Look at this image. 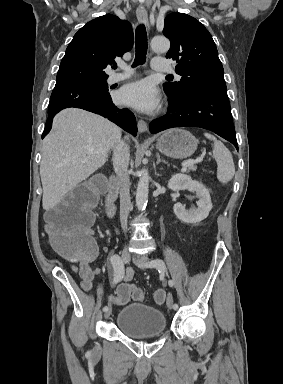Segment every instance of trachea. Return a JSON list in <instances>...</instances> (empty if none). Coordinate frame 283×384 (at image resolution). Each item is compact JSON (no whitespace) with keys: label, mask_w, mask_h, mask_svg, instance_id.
<instances>
[{"label":"trachea","mask_w":283,"mask_h":384,"mask_svg":"<svg viewBox=\"0 0 283 384\" xmlns=\"http://www.w3.org/2000/svg\"><path fill=\"white\" fill-rule=\"evenodd\" d=\"M148 48V39L147 32L144 24L139 25L136 29V37H135V60L133 63V67L138 65H143L146 62V54ZM113 68H117L116 66ZM167 77L173 78L172 75H167Z\"/></svg>","instance_id":"3493384b"}]
</instances>
